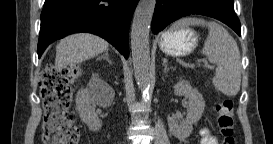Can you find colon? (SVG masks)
Listing matches in <instances>:
<instances>
[{"label": "colon", "mask_w": 273, "mask_h": 144, "mask_svg": "<svg viewBox=\"0 0 273 144\" xmlns=\"http://www.w3.org/2000/svg\"><path fill=\"white\" fill-rule=\"evenodd\" d=\"M78 75L77 68L56 69L52 66L43 70L40 75V95L45 109L42 134L44 144H77L79 142V130L70 112L71 84ZM216 111L217 126L222 137L221 144H235L233 101L231 99L220 101Z\"/></svg>", "instance_id": "colon-1"}]
</instances>
